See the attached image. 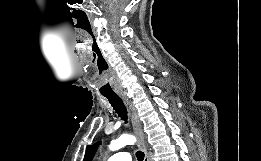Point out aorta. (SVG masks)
Instances as JSON below:
<instances>
[{
  "instance_id": "obj_1",
  "label": "aorta",
  "mask_w": 261,
  "mask_h": 161,
  "mask_svg": "<svg viewBox=\"0 0 261 161\" xmlns=\"http://www.w3.org/2000/svg\"><path fill=\"white\" fill-rule=\"evenodd\" d=\"M136 139L132 135L124 134L120 136L118 139L111 142L109 145V149L112 151L119 150L123 148L126 145H133L135 143Z\"/></svg>"
}]
</instances>
